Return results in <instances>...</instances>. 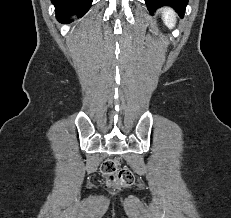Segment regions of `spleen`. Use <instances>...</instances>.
Instances as JSON below:
<instances>
[{
	"instance_id": "spleen-1",
	"label": "spleen",
	"mask_w": 231,
	"mask_h": 218,
	"mask_svg": "<svg viewBox=\"0 0 231 218\" xmlns=\"http://www.w3.org/2000/svg\"><path fill=\"white\" fill-rule=\"evenodd\" d=\"M162 14L163 21L167 25V27L173 28L176 23L175 12L171 8H165L163 9Z\"/></svg>"
}]
</instances>
